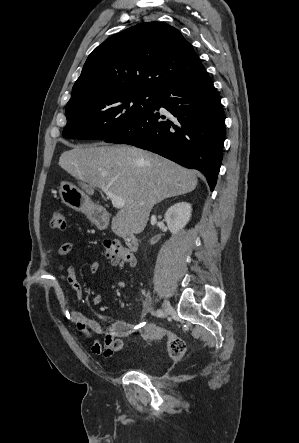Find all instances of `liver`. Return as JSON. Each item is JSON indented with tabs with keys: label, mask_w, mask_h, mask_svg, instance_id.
I'll return each mask as SVG.
<instances>
[{
	"label": "liver",
	"mask_w": 299,
	"mask_h": 443,
	"mask_svg": "<svg viewBox=\"0 0 299 443\" xmlns=\"http://www.w3.org/2000/svg\"><path fill=\"white\" fill-rule=\"evenodd\" d=\"M59 165L81 182L87 193L109 189L125 200L116 214L126 231L139 234L155 204L193 191L194 171L135 147L115 145L75 146L62 153Z\"/></svg>",
	"instance_id": "obj_1"
}]
</instances>
